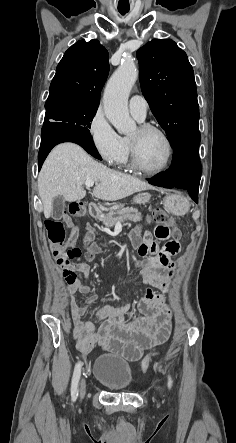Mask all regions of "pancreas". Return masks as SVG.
Returning a JSON list of instances; mask_svg holds the SVG:
<instances>
[{
    "label": "pancreas",
    "instance_id": "1",
    "mask_svg": "<svg viewBox=\"0 0 236 443\" xmlns=\"http://www.w3.org/2000/svg\"><path fill=\"white\" fill-rule=\"evenodd\" d=\"M99 218L107 228L113 227L119 221L139 222L142 220L141 213L138 212L137 208H124L123 206L114 211H110L108 214L100 216Z\"/></svg>",
    "mask_w": 236,
    "mask_h": 443
}]
</instances>
